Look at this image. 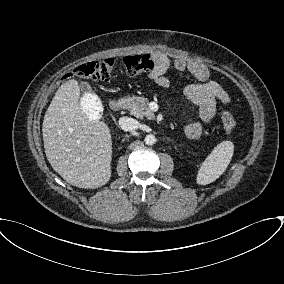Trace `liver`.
<instances>
[{"label": "liver", "instance_id": "liver-1", "mask_svg": "<svg viewBox=\"0 0 284 284\" xmlns=\"http://www.w3.org/2000/svg\"><path fill=\"white\" fill-rule=\"evenodd\" d=\"M75 79L55 93L43 120L47 160L69 184L99 188L111 177L112 139L103 121H90L82 110Z\"/></svg>", "mask_w": 284, "mask_h": 284}]
</instances>
